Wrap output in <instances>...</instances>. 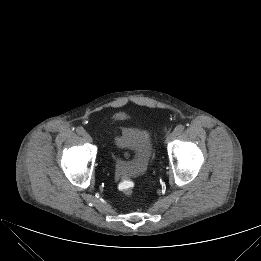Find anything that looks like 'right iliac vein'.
I'll return each mask as SVG.
<instances>
[{
  "mask_svg": "<svg viewBox=\"0 0 261 261\" xmlns=\"http://www.w3.org/2000/svg\"><path fill=\"white\" fill-rule=\"evenodd\" d=\"M83 137H84L85 141H87L89 143L92 142V137L88 133H84Z\"/></svg>",
  "mask_w": 261,
  "mask_h": 261,
  "instance_id": "obj_1",
  "label": "right iliac vein"
}]
</instances>
